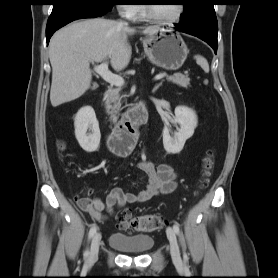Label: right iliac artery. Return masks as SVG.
Returning <instances> with one entry per match:
<instances>
[{"instance_id": "obj_1", "label": "right iliac artery", "mask_w": 278, "mask_h": 278, "mask_svg": "<svg viewBox=\"0 0 278 278\" xmlns=\"http://www.w3.org/2000/svg\"><path fill=\"white\" fill-rule=\"evenodd\" d=\"M96 230H97V226H96V225H93V226L90 228V231H89V238H90V239L94 236V234L96 233ZM88 255H89V251L86 250V251L84 252V256H85V257H88Z\"/></svg>"}]
</instances>
